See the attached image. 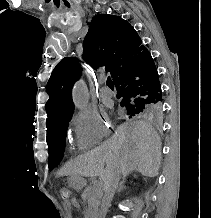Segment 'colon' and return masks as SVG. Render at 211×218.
I'll return each instance as SVG.
<instances>
[{"mask_svg": "<svg viewBox=\"0 0 211 218\" xmlns=\"http://www.w3.org/2000/svg\"><path fill=\"white\" fill-rule=\"evenodd\" d=\"M60 195L63 199L68 200L71 197V191L69 188L67 187H62L60 189Z\"/></svg>", "mask_w": 211, "mask_h": 218, "instance_id": "colon-1", "label": "colon"}]
</instances>
